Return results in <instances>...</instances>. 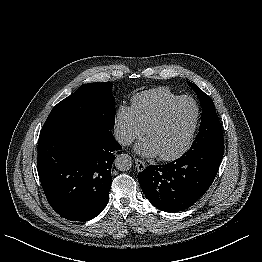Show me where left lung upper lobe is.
Returning <instances> with one entry per match:
<instances>
[{"label":"left lung upper lobe","mask_w":262,"mask_h":262,"mask_svg":"<svg viewBox=\"0 0 262 262\" xmlns=\"http://www.w3.org/2000/svg\"><path fill=\"white\" fill-rule=\"evenodd\" d=\"M187 83L196 92L202 107L200 129L189 150L224 145L222 127L212 99L195 84L189 81Z\"/></svg>","instance_id":"obj_1"}]
</instances>
